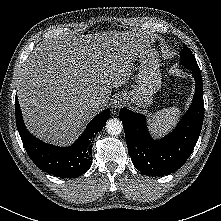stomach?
I'll use <instances>...</instances> for the list:
<instances>
[{
  "mask_svg": "<svg viewBox=\"0 0 221 221\" xmlns=\"http://www.w3.org/2000/svg\"><path fill=\"white\" fill-rule=\"evenodd\" d=\"M138 62L136 84L132 90L122 95L131 103L145 108L152 103L154 94L161 88L159 55L154 48L149 47L138 56Z\"/></svg>",
  "mask_w": 221,
  "mask_h": 221,
  "instance_id": "obj_1",
  "label": "stomach"
}]
</instances>
